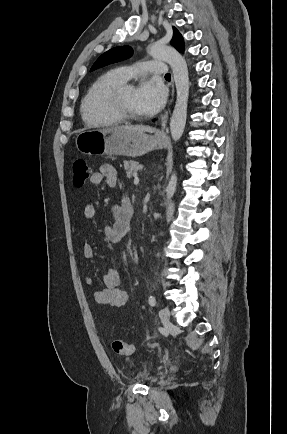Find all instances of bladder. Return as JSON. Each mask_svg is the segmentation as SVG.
<instances>
[{"label": "bladder", "mask_w": 287, "mask_h": 434, "mask_svg": "<svg viewBox=\"0 0 287 434\" xmlns=\"http://www.w3.org/2000/svg\"><path fill=\"white\" fill-rule=\"evenodd\" d=\"M149 377H150V374H149V373H142L141 375H139L138 379H139L140 381H143V380L148 379Z\"/></svg>", "instance_id": "1"}]
</instances>
